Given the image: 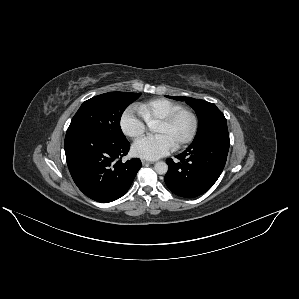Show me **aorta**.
Instances as JSON below:
<instances>
[{
	"label": "aorta",
	"mask_w": 299,
	"mask_h": 299,
	"mask_svg": "<svg viewBox=\"0 0 299 299\" xmlns=\"http://www.w3.org/2000/svg\"><path fill=\"white\" fill-rule=\"evenodd\" d=\"M154 169L158 174L163 175L166 174L168 166L165 162L160 161L155 163Z\"/></svg>",
	"instance_id": "762f6f07"
}]
</instances>
